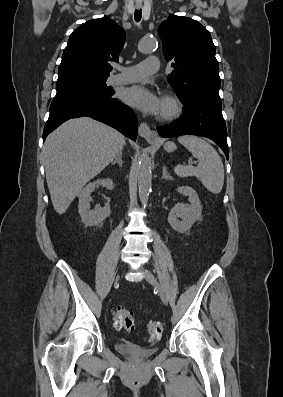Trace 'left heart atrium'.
<instances>
[{
  "mask_svg": "<svg viewBox=\"0 0 283 397\" xmlns=\"http://www.w3.org/2000/svg\"><path fill=\"white\" fill-rule=\"evenodd\" d=\"M121 98L145 114L158 115L162 111L163 101L152 90L140 84L125 88Z\"/></svg>",
  "mask_w": 283,
  "mask_h": 397,
  "instance_id": "1",
  "label": "left heart atrium"
}]
</instances>
